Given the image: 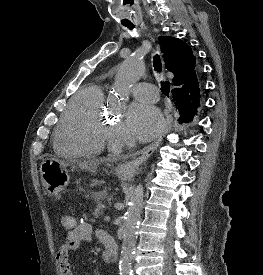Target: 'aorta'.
Wrapping results in <instances>:
<instances>
[{"mask_svg": "<svg viewBox=\"0 0 263 275\" xmlns=\"http://www.w3.org/2000/svg\"><path fill=\"white\" fill-rule=\"evenodd\" d=\"M144 74V65L136 57H130L123 61L117 70L113 86L114 97L125 99L128 97L131 87ZM144 188L137 185L131 196L129 207L125 214V230L120 255V275H132V261L136 246L138 224L143 207Z\"/></svg>", "mask_w": 263, "mask_h": 275, "instance_id": "aorta-1", "label": "aorta"}]
</instances>
